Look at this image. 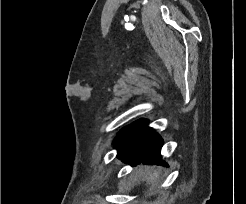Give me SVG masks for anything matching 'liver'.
Returning <instances> with one entry per match:
<instances>
[{
  "label": "liver",
  "instance_id": "obj_1",
  "mask_svg": "<svg viewBox=\"0 0 246 204\" xmlns=\"http://www.w3.org/2000/svg\"><path fill=\"white\" fill-rule=\"evenodd\" d=\"M137 173L142 175L143 174V168L139 167L138 170H137ZM158 176H159V173H158V171L155 170L152 173L148 174V176L145 177V181L149 185L150 184L154 185V183L156 182Z\"/></svg>",
  "mask_w": 246,
  "mask_h": 204
}]
</instances>
